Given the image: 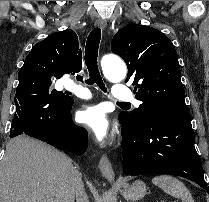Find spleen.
Masks as SVG:
<instances>
[{
  "instance_id": "obj_1",
  "label": "spleen",
  "mask_w": 209,
  "mask_h": 202,
  "mask_svg": "<svg viewBox=\"0 0 209 202\" xmlns=\"http://www.w3.org/2000/svg\"><path fill=\"white\" fill-rule=\"evenodd\" d=\"M152 183L161 188L168 195L181 199L182 202H194L187 187L175 177L159 175L152 179Z\"/></svg>"
}]
</instances>
